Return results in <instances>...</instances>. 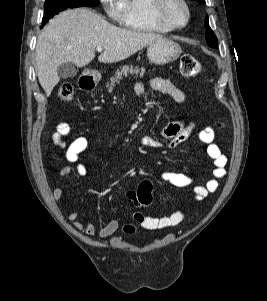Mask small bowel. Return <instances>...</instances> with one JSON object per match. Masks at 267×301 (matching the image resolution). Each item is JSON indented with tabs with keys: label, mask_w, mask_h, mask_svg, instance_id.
<instances>
[{
	"label": "small bowel",
	"mask_w": 267,
	"mask_h": 301,
	"mask_svg": "<svg viewBox=\"0 0 267 301\" xmlns=\"http://www.w3.org/2000/svg\"><path fill=\"white\" fill-rule=\"evenodd\" d=\"M166 94L170 96L175 102L182 103L185 100L184 92L170 79L155 77L147 81H141L135 84L134 90L138 95L144 94L146 88ZM195 124L193 122L172 121L166 124L162 130L163 140H158L152 136L144 135L141 138V144L151 148L157 149H174L181 143L185 142L194 130ZM71 133V126L67 122H60L56 125L52 134L53 143L60 148L66 150V160L75 165L76 172L79 176L87 174V167L81 160L80 155L87 149L88 141L85 137H77L70 143H67L65 138ZM198 139L201 143L206 145L207 155L213 160V178L209 179L204 185L195 186L193 189V199L196 202L206 199L209 194L214 193L219 185V179L225 177L227 157L221 152L220 147L215 142V130L212 126H206L198 133ZM72 172L71 167L64 166L60 169V175L68 176ZM161 179L175 187H186L193 183L191 177L179 173L163 171ZM53 197L57 201L64 198L62 189L56 188L53 191ZM127 200L134 202L140 206L136 200V192L129 191L125 194ZM67 218L72 222L73 226L82 231L87 236H92L96 232V228L91 222H84L80 220V215L77 212L67 214ZM133 223L126 224L122 227V231L127 234L136 231V224L146 229H161L173 227L180 224L185 218L186 213L183 211H175L163 217L152 218L144 217L141 213L136 212L132 216ZM119 228L118 219L114 218L104 225L99 231V237L106 239L113 235Z\"/></svg>",
	"instance_id": "1"
}]
</instances>
